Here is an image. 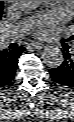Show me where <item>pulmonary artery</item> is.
<instances>
[{"label":"pulmonary artery","instance_id":"obj_1","mask_svg":"<svg viewBox=\"0 0 74 122\" xmlns=\"http://www.w3.org/2000/svg\"><path fill=\"white\" fill-rule=\"evenodd\" d=\"M23 33V30L19 27L14 28L11 31H7L2 35V40L5 43H11L17 40Z\"/></svg>","mask_w":74,"mask_h":122}]
</instances>
